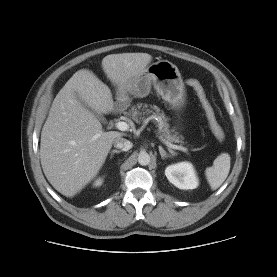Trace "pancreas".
Listing matches in <instances>:
<instances>
[{
	"label": "pancreas",
	"mask_w": 277,
	"mask_h": 277,
	"mask_svg": "<svg viewBox=\"0 0 277 277\" xmlns=\"http://www.w3.org/2000/svg\"><path fill=\"white\" fill-rule=\"evenodd\" d=\"M129 115L136 123H145L149 120H153L159 129L161 137L169 143H183L182 136H178L173 129H170L168 123V117L164 112L156 105H150L139 103L136 106H132L129 110Z\"/></svg>",
	"instance_id": "cf45deb5"
}]
</instances>
